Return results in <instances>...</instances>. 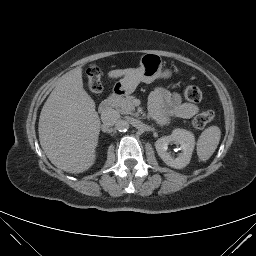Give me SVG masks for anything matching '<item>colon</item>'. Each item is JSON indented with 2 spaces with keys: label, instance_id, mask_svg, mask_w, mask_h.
Segmentation results:
<instances>
[{
  "label": "colon",
  "instance_id": "5ec220e1",
  "mask_svg": "<svg viewBox=\"0 0 256 256\" xmlns=\"http://www.w3.org/2000/svg\"><path fill=\"white\" fill-rule=\"evenodd\" d=\"M86 83L89 91L94 94L98 95L102 91V82H101V74L97 67L93 66L88 69L86 74ZM184 96L185 98L193 103L200 102L202 99V91L197 86H188L184 90ZM215 112L212 110H207L199 115H197L192 120V125L195 129H202L204 128L208 123L212 122L215 119Z\"/></svg>",
  "mask_w": 256,
  "mask_h": 256
}]
</instances>
